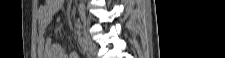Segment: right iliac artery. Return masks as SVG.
<instances>
[{
    "label": "right iliac artery",
    "instance_id": "82829eb1",
    "mask_svg": "<svg viewBox=\"0 0 225 58\" xmlns=\"http://www.w3.org/2000/svg\"><path fill=\"white\" fill-rule=\"evenodd\" d=\"M78 44L83 49V51L85 52L86 51L85 44H84V40L81 36L78 37Z\"/></svg>",
    "mask_w": 225,
    "mask_h": 58
}]
</instances>
